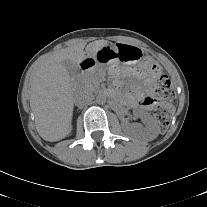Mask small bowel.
<instances>
[{"label":"small bowel","instance_id":"c3829d8e","mask_svg":"<svg viewBox=\"0 0 207 207\" xmlns=\"http://www.w3.org/2000/svg\"><path fill=\"white\" fill-rule=\"evenodd\" d=\"M147 67L148 64H147ZM135 75L142 79L143 85L136 86L134 95L125 94L123 96L124 102L130 107L139 106L143 109L150 110L154 106L153 90L155 86V80L160 75H152L149 70L144 68L139 69H118L114 71L115 80L120 83L123 77L127 75Z\"/></svg>","mask_w":207,"mask_h":207}]
</instances>
